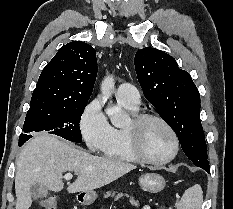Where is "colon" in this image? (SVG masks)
I'll return each instance as SVG.
<instances>
[{"label": "colon", "instance_id": "colon-1", "mask_svg": "<svg viewBox=\"0 0 233 209\" xmlns=\"http://www.w3.org/2000/svg\"><path fill=\"white\" fill-rule=\"evenodd\" d=\"M58 199L55 196L47 197L42 200L41 206L43 209H57Z\"/></svg>", "mask_w": 233, "mask_h": 209}]
</instances>
